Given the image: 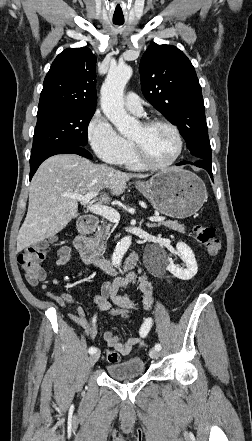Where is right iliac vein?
<instances>
[{"instance_id":"obj_1","label":"right iliac vein","mask_w":252,"mask_h":441,"mask_svg":"<svg viewBox=\"0 0 252 441\" xmlns=\"http://www.w3.org/2000/svg\"><path fill=\"white\" fill-rule=\"evenodd\" d=\"M99 357H100V352H95L94 354H92L89 358L90 366H93L98 361Z\"/></svg>"}]
</instances>
